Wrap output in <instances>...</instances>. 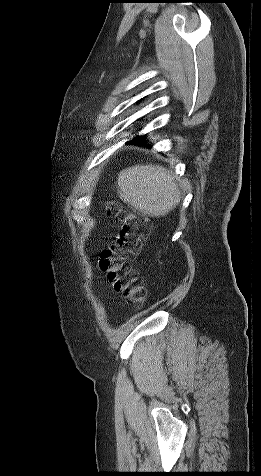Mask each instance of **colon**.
<instances>
[{
    "label": "colon",
    "instance_id": "1",
    "mask_svg": "<svg viewBox=\"0 0 261 476\" xmlns=\"http://www.w3.org/2000/svg\"><path fill=\"white\" fill-rule=\"evenodd\" d=\"M106 210L119 229L99 258V268L106 273L113 289L135 306L146 300V289L132 263L141 251L142 241L150 232L147 218L128 212L114 202Z\"/></svg>",
    "mask_w": 261,
    "mask_h": 476
}]
</instances>
